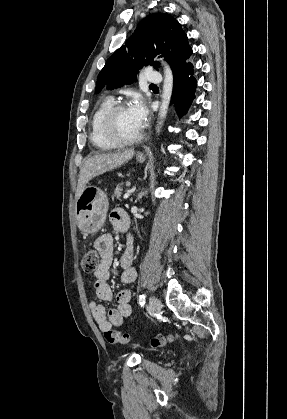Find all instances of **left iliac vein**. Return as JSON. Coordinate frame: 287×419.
Returning <instances> with one entry per match:
<instances>
[{
	"mask_svg": "<svg viewBox=\"0 0 287 419\" xmlns=\"http://www.w3.org/2000/svg\"><path fill=\"white\" fill-rule=\"evenodd\" d=\"M149 308L153 314H159L162 308L161 301L157 297L151 296L150 302H149Z\"/></svg>",
	"mask_w": 287,
	"mask_h": 419,
	"instance_id": "obj_1",
	"label": "left iliac vein"
}]
</instances>
